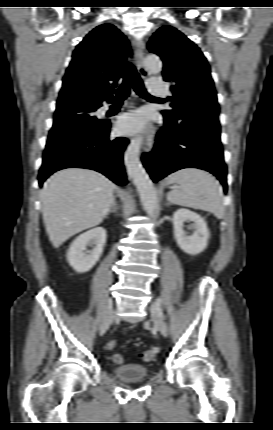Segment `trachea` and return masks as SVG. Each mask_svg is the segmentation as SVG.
Listing matches in <instances>:
<instances>
[{
    "label": "trachea",
    "mask_w": 273,
    "mask_h": 430,
    "mask_svg": "<svg viewBox=\"0 0 273 430\" xmlns=\"http://www.w3.org/2000/svg\"><path fill=\"white\" fill-rule=\"evenodd\" d=\"M125 68H126V72L121 86L117 90H113V92L116 94L117 101H122L128 97L131 86L134 88L135 92L139 96L145 99H148V100L159 99L147 93L146 89L144 88V83L140 78V76L138 75L136 68L133 64L127 63Z\"/></svg>",
    "instance_id": "1"
}]
</instances>
